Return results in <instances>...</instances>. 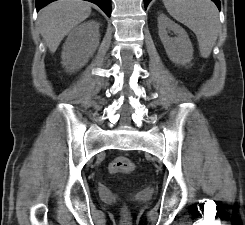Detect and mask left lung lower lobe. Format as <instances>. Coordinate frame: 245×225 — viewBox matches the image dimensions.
Segmentation results:
<instances>
[{
	"label": "left lung lower lobe",
	"mask_w": 245,
	"mask_h": 225,
	"mask_svg": "<svg viewBox=\"0 0 245 225\" xmlns=\"http://www.w3.org/2000/svg\"><path fill=\"white\" fill-rule=\"evenodd\" d=\"M218 7V9H220V0H212ZM151 2V0H144V6L145 9L147 8L148 4Z\"/></svg>",
	"instance_id": "0a47b994"
}]
</instances>
